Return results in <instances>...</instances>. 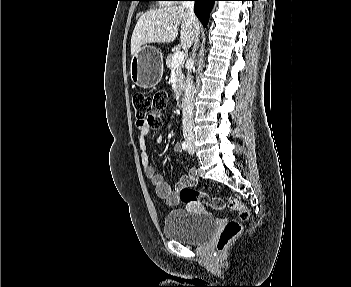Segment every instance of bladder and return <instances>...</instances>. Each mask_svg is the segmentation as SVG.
<instances>
[{"label":"bladder","mask_w":351,"mask_h":287,"mask_svg":"<svg viewBox=\"0 0 351 287\" xmlns=\"http://www.w3.org/2000/svg\"><path fill=\"white\" fill-rule=\"evenodd\" d=\"M218 225L211 215H197L184 209L170 211L164 220L163 233L167 239L185 245H200L210 239Z\"/></svg>","instance_id":"31cf9c89"}]
</instances>
